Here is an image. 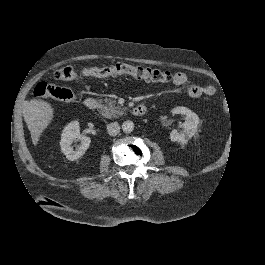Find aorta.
<instances>
[{
    "mask_svg": "<svg viewBox=\"0 0 265 265\" xmlns=\"http://www.w3.org/2000/svg\"><path fill=\"white\" fill-rule=\"evenodd\" d=\"M122 130L125 133H131L134 130V123L131 120L124 121L122 124Z\"/></svg>",
    "mask_w": 265,
    "mask_h": 265,
    "instance_id": "762f6f07",
    "label": "aorta"
}]
</instances>
